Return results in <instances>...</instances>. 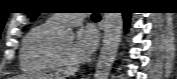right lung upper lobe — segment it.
<instances>
[{
	"mask_svg": "<svg viewBox=\"0 0 177 79\" xmlns=\"http://www.w3.org/2000/svg\"><path fill=\"white\" fill-rule=\"evenodd\" d=\"M38 14H39V13H34V15L32 16V19H31V20H34V19L37 17Z\"/></svg>",
	"mask_w": 177,
	"mask_h": 79,
	"instance_id": "right-lung-upper-lobe-1",
	"label": "right lung upper lobe"
}]
</instances>
